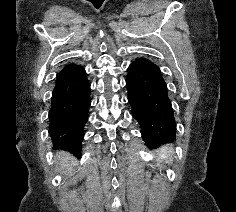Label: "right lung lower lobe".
Here are the masks:
<instances>
[{"label":"right lung lower lobe","mask_w":236,"mask_h":212,"mask_svg":"<svg viewBox=\"0 0 236 212\" xmlns=\"http://www.w3.org/2000/svg\"><path fill=\"white\" fill-rule=\"evenodd\" d=\"M90 103L85 69L67 64L56 76L51 97L49 133L54 148L80 155Z\"/></svg>","instance_id":"98d812e1"}]
</instances>
